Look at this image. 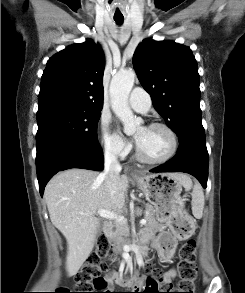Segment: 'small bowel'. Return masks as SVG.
<instances>
[{"label":"small bowel","instance_id":"small-bowel-1","mask_svg":"<svg viewBox=\"0 0 245 293\" xmlns=\"http://www.w3.org/2000/svg\"><path fill=\"white\" fill-rule=\"evenodd\" d=\"M150 237H151V233L149 231H144L142 233V240L144 242L148 241ZM177 241L178 239L170 231H164L157 235L156 249L161 259L169 260L173 257L176 251ZM176 276H177V270L175 268H172L169 271H167L162 278L163 287L164 288L169 287L172 280ZM108 280L110 282H114L118 284L119 286L125 285L124 280L115 272H112L109 274Z\"/></svg>","mask_w":245,"mask_h":293}]
</instances>
